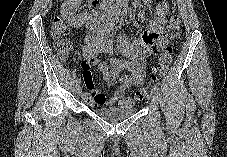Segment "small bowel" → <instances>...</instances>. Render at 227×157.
I'll use <instances>...</instances> for the list:
<instances>
[{
    "label": "small bowel",
    "mask_w": 227,
    "mask_h": 157,
    "mask_svg": "<svg viewBox=\"0 0 227 157\" xmlns=\"http://www.w3.org/2000/svg\"><path fill=\"white\" fill-rule=\"evenodd\" d=\"M151 1L137 0L138 3L144 5H149ZM169 11L170 6L167 2L158 3L148 29L140 37L132 42L123 36L117 38L116 48L123 58L112 57L108 61L99 58L103 53L112 56L114 51L113 42L104 35V32H92L85 39L82 49L84 60L81 68L86 90L82 96L89 105L101 107L103 105H113L117 102L120 104L127 89L138 86L143 82L147 65L144 57L151 53L153 44L161 38ZM94 66L98 67L103 79L109 86L116 81L120 82V86L109 98H106L94 86L90 71Z\"/></svg>",
    "instance_id": "1"
}]
</instances>
